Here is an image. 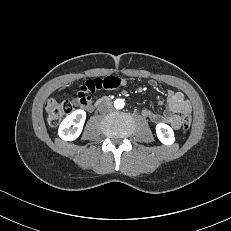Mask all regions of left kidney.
Masks as SVG:
<instances>
[{"label":"left kidney","mask_w":231,"mask_h":231,"mask_svg":"<svg viewBox=\"0 0 231 231\" xmlns=\"http://www.w3.org/2000/svg\"><path fill=\"white\" fill-rule=\"evenodd\" d=\"M156 133L158 139L165 145H171L175 141L173 129L167 124H157Z\"/></svg>","instance_id":"obj_1"}]
</instances>
